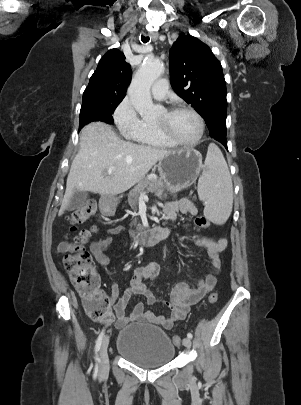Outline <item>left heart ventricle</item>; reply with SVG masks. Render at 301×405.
<instances>
[{
  "instance_id": "b2bd125f",
  "label": "left heart ventricle",
  "mask_w": 301,
  "mask_h": 405,
  "mask_svg": "<svg viewBox=\"0 0 301 405\" xmlns=\"http://www.w3.org/2000/svg\"><path fill=\"white\" fill-rule=\"evenodd\" d=\"M155 123L164 124L171 134L182 141L194 140L199 132L197 119L188 111L168 114L163 110L155 119Z\"/></svg>"
}]
</instances>
